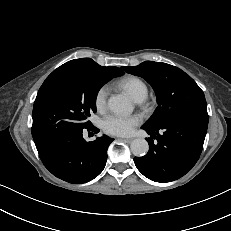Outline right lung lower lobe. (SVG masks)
Wrapping results in <instances>:
<instances>
[{"label": "right lung lower lobe", "mask_w": 231, "mask_h": 231, "mask_svg": "<svg viewBox=\"0 0 231 231\" xmlns=\"http://www.w3.org/2000/svg\"><path fill=\"white\" fill-rule=\"evenodd\" d=\"M86 129L99 131L93 125ZM83 130L71 131L50 141H34L45 167L69 183L82 184L98 176L106 165L108 146L114 140L103 135L86 142Z\"/></svg>", "instance_id": "1"}]
</instances>
